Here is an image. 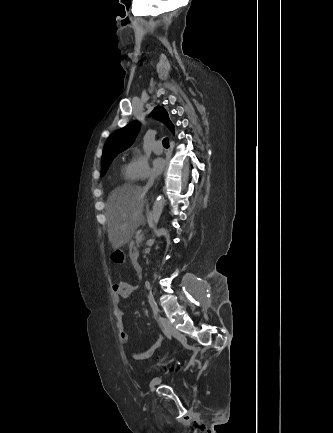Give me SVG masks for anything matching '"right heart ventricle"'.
<instances>
[{
    "label": "right heart ventricle",
    "mask_w": 333,
    "mask_h": 433,
    "mask_svg": "<svg viewBox=\"0 0 333 433\" xmlns=\"http://www.w3.org/2000/svg\"><path fill=\"white\" fill-rule=\"evenodd\" d=\"M121 175L126 182H131L133 180L128 165L121 166Z\"/></svg>",
    "instance_id": "right-heart-ventricle-1"
}]
</instances>
